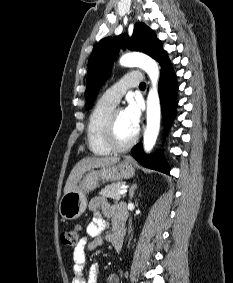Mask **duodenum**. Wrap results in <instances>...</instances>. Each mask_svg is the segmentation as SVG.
I'll use <instances>...</instances> for the list:
<instances>
[{"label":"duodenum","instance_id":"duodenum-1","mask_svg":"<svg viewBox=\"0 0 233 283\" xmlns=\"http://www.w3.org/2000/svg\"><path fill=\"white\" fill-rule=\"evenodd\" d=\"M124 236H125V222L121 220L117 223L111 235V242L117 252H120L122 249Z\"/></svg>","mask_w":233,"mask_h":283}]
</instances>
